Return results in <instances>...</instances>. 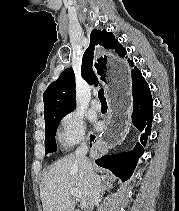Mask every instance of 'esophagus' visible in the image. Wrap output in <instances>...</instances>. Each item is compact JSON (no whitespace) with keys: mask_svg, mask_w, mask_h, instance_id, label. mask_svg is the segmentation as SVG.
<instances>
[{"mask_svg":"<svg viewBox=\"0 0 179 211\" xmlns=\"http://www.w3.org/2000/svg\"><path fill=\"white\" fill-rule=\"evenodd\" d=\"M98 64L94 69L98 79L105 82L108 94L106 128L101 133L99 144H95L96 156H103L104 149H112V145H119L123 140V133L128 130V120L132 108L130 98L131 82L128 77V64H122L121 56H103V52H96Z\"/></svg>","mask_w":179,"mask_h":211,"instance_id":"34e87169","label":"esophagus"}]
</instances>
